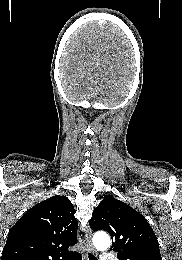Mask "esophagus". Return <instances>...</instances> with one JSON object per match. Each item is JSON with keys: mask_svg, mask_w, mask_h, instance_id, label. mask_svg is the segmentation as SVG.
Masks as SVG:
<instances>
[{"mask_svg": "<svg viewBox=\"0 0 182 260\" xmlns=\"http://www.w3.org/2000/svg\"><path fill=\"white\" fill-rule=\"evenodd\" d=\"M91 237H92V232L90 229H87V231L85 233V237H84V244H85L86 251H88V252L95 251L94 247L92 245Z\"/></svg>", "mask_w": 182, "mask_h": 260, "instance_id": "obj_1", "label": "esophagus"}]
</instances>
